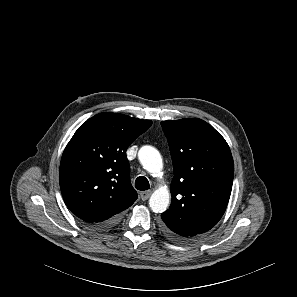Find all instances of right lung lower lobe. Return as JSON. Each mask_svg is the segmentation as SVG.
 <instances>
[{
    "mask_svg": "<svg viewBox=\"0 0 297 297\" xmlns=\"http://www.w3.org/2000/svg\"><path fill=\"white\" fill-rule=\"evenodd\" d=\"M119 220H120V214H118L106 221H103L101 223L92 224V225H90V227H92L93 229H96V230H104V229H108V228L115 226L119 222Z\"/></svg>",
    "mask_w": 297,
    "mask_h": 297,
    "instance_id": "obj_1",
    "label": "right lung lower lobe"
}]
</instances>
